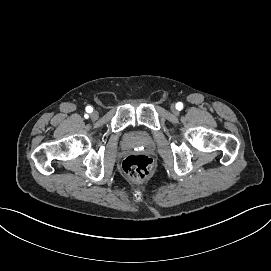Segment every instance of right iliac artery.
<instances>
[{
  "label": "right iliac artery",
  "mask_w": 271,
  "mask_h": 271,
  "mask_svg": "<svg viewBox=\"0 0 271 271\" xmlns=\"http://www.w3.org/2000/svg\"><path fill=\"white\" fill-rule=\"evenodd\" d=\"M86 111H87L88 113H91V112L93 111V108H92L91 106H87V107H86Z\"/></svg>",
  "instance_id": "obj_1"
}]
</instances>
